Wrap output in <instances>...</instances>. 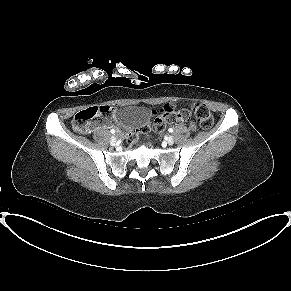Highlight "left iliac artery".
Instances as JSON below:
<instances>
[{
    "label": "left iliac artery",
    "mask_w": 291,
    "mask_h": 291,
    "mask_svg": "<svg viewBox=\"0 0 291 291\" xmlns=\"http://www.w3.org/2000/svg\"><path fill=\"white\" fill-rule=\"evenodd\" d=\"M168 131L171 133V132H173V129H172V128H169V130H168Z\"/></svg>",
    "instance_id": "44dca946"
}]
</instances>
